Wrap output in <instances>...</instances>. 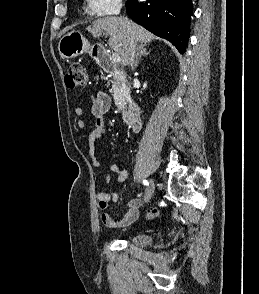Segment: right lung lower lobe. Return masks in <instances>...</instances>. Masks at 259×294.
<instances>
[{
    "instance_id": "1",
    "label": "right lung lower lobe",
    "mask_w": 259,
    "mask_h": 294,
    "mask_svg": "<svg viewBox=\"0 0 259 294\" xmlns=\"http://www.w3.org/2000/svg\"><path fill=\"white\" fill-rule=\"evenodd\" d=\"M126 11L136 23L167 39L184 53L190 32L192 0H128Z\"/></svg>"
}]
</instances>
